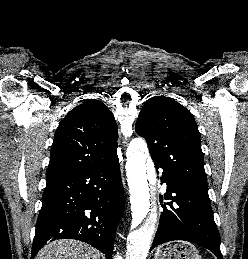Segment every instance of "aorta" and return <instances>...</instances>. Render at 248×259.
<instances>
[{"mask_svg": "<svg viewBox=\"0 0 248 259\" xmlns=\"http://www.w3.org/2000/svg\"><path fill=\"white\" fill-rule=\"evenodd\" d=\"M126 175L135 229L129 234L126 259H146L157 221L149 184L156 182L154 165L142 138L133 139L127 149Z\"/></svg>", "mask_w": 248, "mask_h": 259, "instance_id": "762f6f07", "label": "aorta"}]
</instances>
